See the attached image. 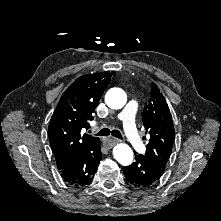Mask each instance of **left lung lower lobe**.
<instances>
[{
  "instance_id": "left-lung-lower-lobe-1",
  "label": "left lung lower lobe",
  "mask_w": 221,
  "mask_h": 221,
  "mask_svg": "<svg viewBox=\"0 0 221 221\" xmlns=\"http://www.w3.org/2000/svg\"><path fill=\"white\" fill-rule=\"evenodd\" d=\"M136 161L124 167L123 171L129 184L136 188H146L155 184L163 175L164 169L143 155H136Z\"/></svg>"
}]
</instances>
